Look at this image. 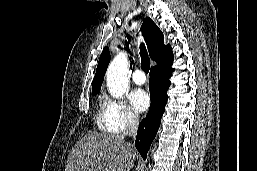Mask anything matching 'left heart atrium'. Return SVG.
<instances>
[{"label":"left heart atrium","mask_w":257,"mask_h":171,"mask_svg":"<svg viewBox=\"0 0 257 171\" xmlns=\"http://www.w3.org/2000/svg\"><path fill=\"white\" fill-rule=\"evenodd\" d=\"M130 102L137 112H144L150 105V98L144 90L139 89L131 93Z\"/></svg>","instance_id":"obj_1"}]
</instances>
